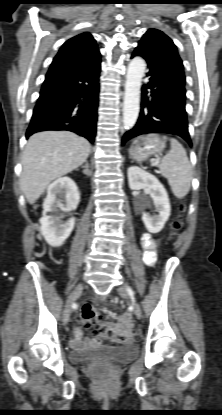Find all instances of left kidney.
Masks as SVG:
<instances>
[{
    "mask_svg": "<svg viewBox=\"0 0 222 415\" xmlns=\"http://www.w3.org/2000/svg\"><path fill=\"white\" fill-rule=\"evenodd\" d=\"M127 174L130 189H146L154 202L156 211L158 212V214L154 216H150L147 213L142 215V220L147 230L150 233L160 232L168 220L171 212V206L166 189L154 175L137 166L129 167Z\"/></svg>",
    "mask_w": 222,
    "mask_h": 415,
    "instance_id": "obj_1",
    "label": "left kidney"
}]
</instances>
